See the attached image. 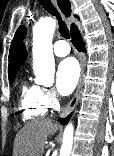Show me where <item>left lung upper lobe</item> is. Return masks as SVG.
Instances as JSON below:
<instances>
[{"mask_svg":"<svg viewBox=\"0 0 114 156\" xmlns=\"http://www.w3.org/2000/svg\"><path fill=\"white\" fill-rule=\"evenodd\" d=\"M25 34H26V27L24 25H21L15 33L13 43H12L11 48H10V55L12 53V50L25 37Z\"/></svg>","mask_w":114,"mask_h":156,"instance_id":"left-lung-upper-lobe-1","label":"left lung upper lobe"}]
</instances>
